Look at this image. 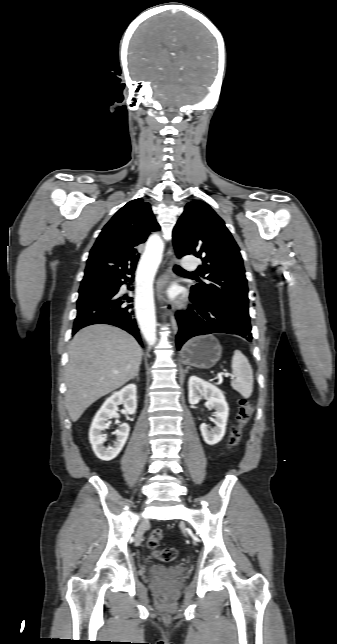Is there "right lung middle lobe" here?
<instances>
[{"instance_id": "1", "label": "right lung middle lobe", "mask_w": 337, "mask_h": 644, "mask_svg": "<svg viewBox=\"0 0 337 644\" xmlns=\"http://www.w3.org/2000/svg\"><path fill=\"white\" fill-rule=\"evenodd\" d=\"M113 280H94L82 282L79 289V298L77 303H81L111 290Z\"/></svg>"}]
</instances>
